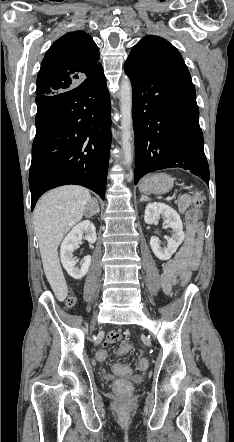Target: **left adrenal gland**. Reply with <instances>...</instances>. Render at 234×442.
<instances>
[{
	"label": "left adrenal gland",
	"mask_w": 234,
	"mask_h": 442,
	"mask_svg": "<svg viewBox=\"0 0 234 442\" xmlns=\"http://www.w3.org/2000/svg\"><path fill=\"white\" fill-rule=\"evenodd\" d=\"M148 200H150V199L147 196H145V195H142L141 198H140V202L148 201Z\"/></svg>",
	"instance_id": "left-adrenal-gland-1"
}]
</instances>
